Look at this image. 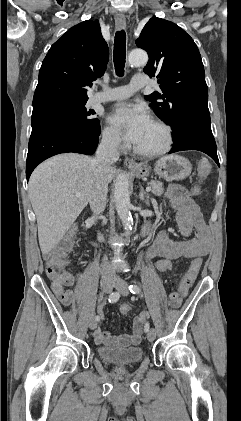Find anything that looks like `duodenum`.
I'll use <instances>...</instances> for the list:
<instances>
[{
    "instance_id": "obj_1",
    "label": "duodenum",
    "mask_w": 241,
    "mask_h": 421,
    "mask_svg": "<svg viewBox=\"0 0 241 421\" xmlns=\"http://www.w3.org/2000/svg\"><path fill=\"white\" fill-rule=\"evenodd\" d=\"M148 233H149V225H146V226L143 228L142 234H143V236H147V235H148Z\"/></svg>"
}]
</instances>
